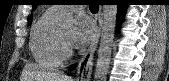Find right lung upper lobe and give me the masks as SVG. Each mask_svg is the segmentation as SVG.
I'll return each mask as SVG.
<instances>
[{"label":"right lung upper lobe","instance_id":"right-lung-upper-lobe-1","mask_svg":"<svg viewBox=\"0 0 169 81\" xmlns=\"http://www.w3.org/2000/svg\"><path fill=\"white\" fill-rule=\"evenodd\" d=\"M29 23H31V17L29 18Z\"/></svg>","mask_w":169,"mask_h":81}]
</instances>
